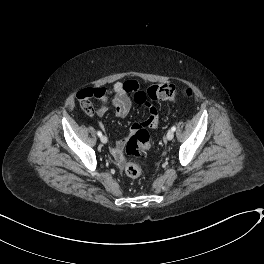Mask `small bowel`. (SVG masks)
Segmentation results:
<instances>
[{"label": "small bowel", "instance_id": "obj_1", "mask_svg": "<svg viewBox=\"0 0 264 264\" xmlns=\"http://www.w3.org/2000/svg\"><path fill=\"white\" fill-rule=\"evenodd\" d=\"M141 90L140 83L135 79L117 81L110 88H97L94 90V99L100 101L97 109V115L102 117L110 108H114L115 114L119 117H125L132 106L130 95ZM148 117L139 124H134L128 131L126 138L116 140L112 143L109 150L116 162L121 163L125 159L123 148L128 139L136 132V126L148 127L155 130L158 126V111L154 105H148ZM99 126L105 130L104 124Z\"/></svg>", "mask_w": 264, "mask_h": 264}]
</instances>
